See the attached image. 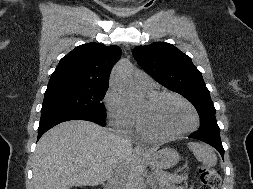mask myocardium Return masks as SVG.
Here are the masks:
<instances>
[{
    "label": "myocardium",
    "instance_id": "obj_1",
    "mask_svg": "<svg viewBox=\"0 0 253 189\" xmlns=\"http://www.w3.org/2000/svg\"><path fill=\"white\" fill-rule=\"evenodd\" d=\"M163 97L175 98V99L179 100L180 102H182L183 104H185L190 109V111L193 115V123L191 124V126L186 128L185 130L177 132L175 134L166 135V136L156 135V134H153V133L147 131L142 126L140 118L137 115V128H138V131L142 135H144L145 137H147L149 139H152V140H156V141H171V140L181 138L183 136H186V135L194 132L199 126L198 112L196 111L195 107L187 99H185L181 95H179L177 93H174V92H170V91H160V92H155V93L149 95L146 101L149 104H153V103L157 102L159 99H161Z\"/></svg>",
    "mask_w": 253,
    "mask_h": 189
}]
</instances>
